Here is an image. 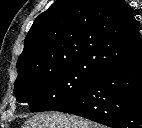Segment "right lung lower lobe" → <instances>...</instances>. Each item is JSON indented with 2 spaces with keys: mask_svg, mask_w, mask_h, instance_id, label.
Masks as SVG:
<instances>
[{
  "mask_svg": "<svg viewBox=\"0 0 142 128\" xmlns=\"http://www.w3.org/2000/svg\"><path fill=\"white\" fill-rule=\"evenodd\" d=\"M55 111L112 128H142V55L97 75L85 91Z\"/></svg>",
  "mask_w": 142,
  "mask_h": 128,
  "instance_id": "obj_1",
  "label": "right lung lower lobe"
}]
</instances>
